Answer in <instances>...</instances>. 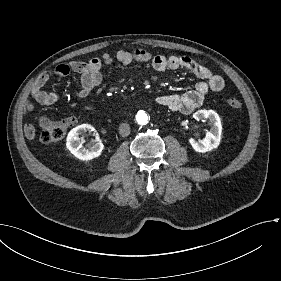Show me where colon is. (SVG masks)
<instances>
[{
	"mask_svg": "<svg viewBox=\"0 0 281 281\" xmlns=\"http://www.w3.org/2000/svg\"><path fill=\"white\" fill-rule=\"evenodd\" d=\"M227 105L233 109H237L241 106V102L237 98H228ZM69 127L70 119L67 117L51 122L42 129L39 141L43 143L59 141L65 136Z\"/></svg>",
	"mask_w": 281,
	"mask_h": 281,
	"instance_id": "colon-1",
	"label": "colon"
}]
</instances>
